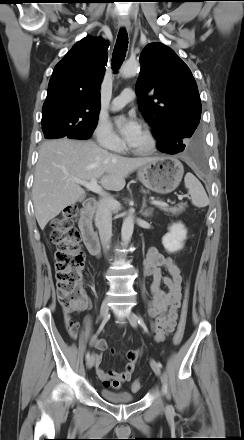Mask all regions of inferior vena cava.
<instances>
[{
    "label": "inferior vena cava",
    "instance_id": "1",
    "mask_svg": "<svg viewBox=\"0 0 244 440\" xmlns=\"http://www.w3.org/2000/svg\"><path fill=\"white\" fill-rule=\"evenodd\" d=\"M110 198H101L97 205L95 224L99 230L100 240L104 250L111 242L112 237V213Z\"/></svg>",
    "mask_w": 244,
    "mask_h": 440
}]
</instances>
